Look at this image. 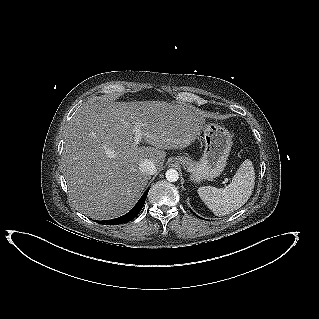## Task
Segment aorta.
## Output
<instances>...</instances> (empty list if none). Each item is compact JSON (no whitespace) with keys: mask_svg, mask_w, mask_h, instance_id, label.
Returning <instances> with one entry per match:
<instances>
[{"mask_svg":"<svg viewBox=\"0 0 319 319\" xmlns=\"http://www.w3.org/2000/svg\"><path fill=\"white\" fill-rule=\"evenodd\" d=\"M166 179L169 182H176L179 178V174L175 169H169L165 173Z\"/></svg>","mask_w":319,"mask_h":319,"instance_id":"obj_1","label":"aorta"}]
</instances>
